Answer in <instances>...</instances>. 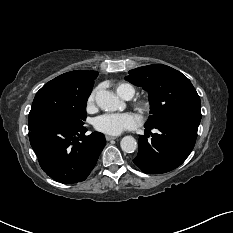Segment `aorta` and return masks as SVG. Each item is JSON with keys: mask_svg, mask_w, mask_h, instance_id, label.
Here are the masks:
<instances>
[{"mask_svg": "<svg viewBox=\"0 0 233 233\" xmlns=\"http://www.w3.org/2000/svg\"><path fill=\"white\" fill-rule=\"evenodd\" d=\"M97 106L104 111H116L123 107V102L108 90H99L95 95ZM121 149L126 153H133L137 142L132 136H125L120 142Z\"/></svg>", "mask_w": 233, "mask_h": 233, "instance_id": "obj_1", "label": "aorta"}]
</instances>
